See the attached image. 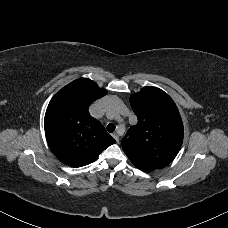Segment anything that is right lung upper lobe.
Here are the masks:
<instances>
[{
	"label": "right lung upper lobe",
	"instance_id": "cb5924a9",
	"mask_svg": "<svg viewBox=\"0 0 228 228\" xmlns=\"http://www.w3.org/2000/svg\"><path fill=\"white\" fill-rule=\"evenodd\" d=\"M106 90L87 78L77 79L57 92L44 119L45 134L53 154L64 164L81 167L97 159L116 143L88 108Z\"/></svg>",
	"mask_w": 228,
	"mask_h": 228
}]
</instances>
